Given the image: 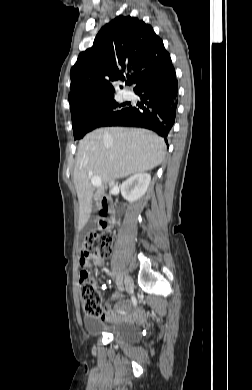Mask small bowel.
<instances>
[{
  "instance_id": "c3829d8e",
  "label": "small bowel",
  "mask_w": 252,
  "mask_h": 390,
  "mask_svg": "<svg viewBox=\"0 0 252 390\" xmlns=\"http://www.w3.org/2000/svg\"><path fill=\"white\" fill-rule=\"evenodd\" d=\"M103 263V258L96 259L97 265L101 266ZM110 302H116L115 311L111 310ZM110 302L105 304L103 319H113L123 322H139L144 316V313L140 308H138L136 312H131V303L129 301L122 300L121 294L119 292H115L111 295ZM118 310L125 312V315L120 316Z\"/></svg>"
}]
</instances>
